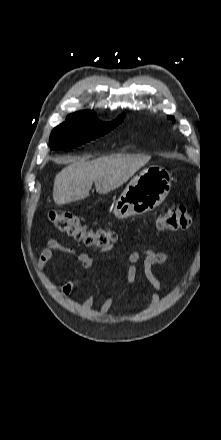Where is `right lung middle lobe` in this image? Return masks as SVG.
<instances>
[{"mask_svg":"<svg viewBox=\"0 0 221 440\" xmlns=\"http://www.w3.org/2000/svg\"><path fill=\"white\" fill-rule=\"evenodd\" d=\"M119 116L109 123L97 120L91 111H82L67 116L64 123L58 125L50 135L51 149L76 148L108 133L123 121Z\"/></svg>","mask_w":221,"mask_h":440,"instance_id":"dd1d6c3e","label":"right lung middle lobe"}]
</instances>
